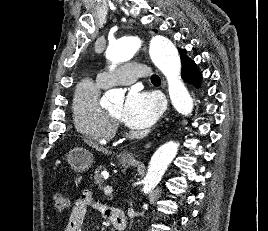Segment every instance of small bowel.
Listing matches in <instances>:
<instances>
[{"mask_svg": "<svg viewBox=\"0 0 268 231\" xmlns=\"http://www.w3.org/2000/svg\"><path fill=\"white\" fill-rule=\"evenodd\" d=\"M90 207H98L108 218H110L113 211L96 205L91 198V194L88 191H85L82 194V197L73 203L68 222L63 231H82V225Z\"/></svg>", "mask_w": 268, "mask_h": 231, "instance_id": "1", "label": "small bowel"}]
</instances>
